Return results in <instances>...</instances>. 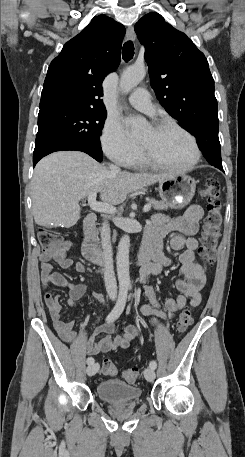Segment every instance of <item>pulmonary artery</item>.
<instances>
[{"label": "pulmonary artery", "mask_w": 245, "mask_h": 457, "mask_svg": "<svg viewBox=\"0 0 245 457\" xmlns=\"http://www.w3.org/2000/svg\"><path fill=\"white\" fill-rule=\"evenodd\" d=\"M128 102L138 110L148 114L154 113V108L151 102V94L148 93L147 86H136L135 93L129 95Z\"/></svg>", "instance_id": "pulmonary-artery-1"}]
</instances>
